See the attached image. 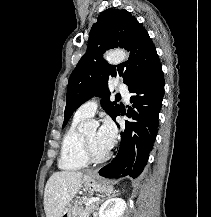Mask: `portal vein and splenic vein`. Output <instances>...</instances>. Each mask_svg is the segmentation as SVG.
Masks as SVG:
<instances>
[{
    "label": "portal vein and splenic vein",
    "mask_w": 211,
    "mask_h": 217,
    "mask_svg": "<svg viewBox=\"0 0 211 217\" xmlns=\"http://www.w3.org/2000/svg\"><path fill=\"white\" fill-rule=\"evenodd\" d=\"M96 201H98V198L92 197V198H90L89 201L86 203V206H88V205H90V204H92V203H94V202H96Z\"/></svg>",
    "instance_id": "obj_1"
}]
</instances>
